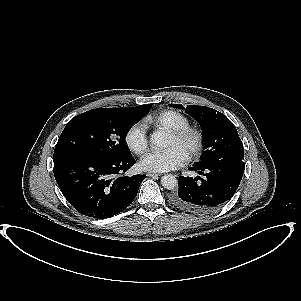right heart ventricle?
Returning <instances> with one entry per match:
<instances>
[{
    "label": "right heart ventricle",
    "instance_id": "1",
    "mask_svg": "<svg viewBox=\"0 0 301 301\" xmlns=\"http://www.w3.org/2000/svg\"><path fill=\"white\" fill-rule=\"evenodd\" d=\"M155 126L163 131L181 130L188 128V120L176 112H167L155 120Z\"/></svg>",
    "mask_w": 301,
    "mask_h": 301
}]
</instances>
